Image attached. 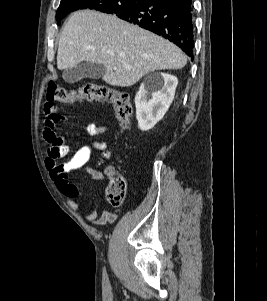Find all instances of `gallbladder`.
<instances>
[{"label": "gallbladder", "mask_w": 267, "mask_h": 301, "mask_svg": "<svg viewBox=\"0 0 267 301\" xmlns=\"http://www.w3.org/2000/svg\"><path fill=\"white\" fill-rule=\"evenodd\" d=\"M105 74L102 64L83 62L75 67L66 69L62 77L67 83H75L84 78L99 79Z\"/></svg>", "instance_id": "obj_1"}]
</instances>
